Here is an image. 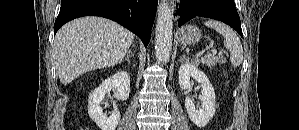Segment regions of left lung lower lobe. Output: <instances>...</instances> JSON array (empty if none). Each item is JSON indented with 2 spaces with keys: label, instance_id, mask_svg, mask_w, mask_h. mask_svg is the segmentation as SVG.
Returning a JSON list of instances; mask_svg holds the SVG:
<instances>
[{
  "label": "left lung lower lobe",
  "instance_id": "left-lung-lower-lobe-1",
  "mask_svg": "<svg viewBox=\"0 0 299 130\" xmlns=\"http://www.w3.org/2000/svg\"><path fill=\"white\" fill-rule=\"evenodd\" d=\"M178 13L180 15L179 27L190 19L201 16L222 21L243 37L234 0H180Z\"/></svg>",
  "mask_w": 299,
  "mask_h": 130
}]
</instances>
